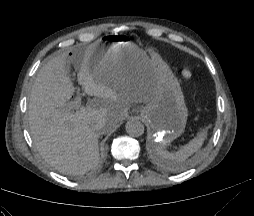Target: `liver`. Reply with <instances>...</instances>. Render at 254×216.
I'll return each mask as SVG.
<instances>
[{"label": "liver", "instance_id": "obj_1", "mask_svg": "<svg viewBox=\"0 0 254 216\" xmlns=\"http://www.w3.org/2000/svg\"><path fill=\"white\" fill-rule=\"evenodd\" d=\"M92 43L74 56L79 65L77 79L84 92L94 96L75 113L67 101L75 91L69 76V54L49 60L38 72L29 99V126L33 142L40 153L61 173L80 175L99 161V134L117 127L128 107L148 103L154 90V76L149 68L106 72L96 76ZM104 121L100 131L94 129Z\"/></svg>", "mask_w": 254, "mask_h": 216}]
</instances>
